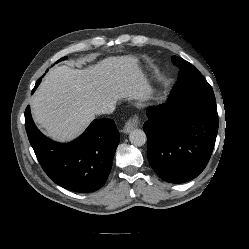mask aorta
<instances>
[{
	"label": "aorta",
	"mask_w": 249,
	"mask_h": 249,
	"mask_svg": "<svg viewBox=\"0 0 249 249\" xmlns=\"http://www.w3.org/2000/svg\"><path fill=\"white\" fill-rule=\"evenodd\" d=\"M129 141L134 146L139 147V146H143L146 143L147 137H146V134H145V132L143 130L134 129L129 134Z\"/></svg>",
	"instance_id": "obj_1"
}]
</instances>
